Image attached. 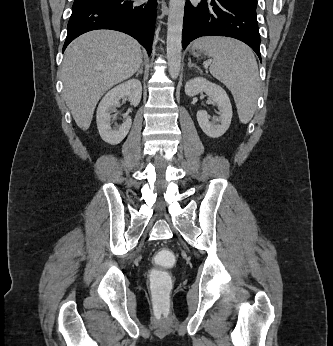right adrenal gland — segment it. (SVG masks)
<instances>
[{
	"label": "right adrenal gland",
	"mask_w": 333,
	"mask_h": 346,
	"mask_svg": "<svg viewBox=\"0 0 333 346\" xmlns=\"http://www.w3.org/2000/svg\"><path fill=\"white\" fill-rule=\"evenodd\" d=\"M143 73V63H141L140 68L138 69L137 73H136V77H138L139 74Z\"/></svg>",
	"instance_id": "2a0ac1e0"
}]
</instances>
